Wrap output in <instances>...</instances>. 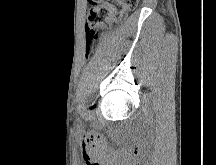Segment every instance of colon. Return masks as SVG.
<instances>
[{
    "instance_id": "colon-1",
    "label": "colon",
    "mask_w": 216,
    "mask_h": 165,
    "mask_svg": "<svg viewBox=\"0 0 216 165\" xmlns=\"http://www.w3.org/2000/svg\"><path fill=\"white\" fill-rule=\"evenodd\" d=\"M92 6L86 25V53L97 41L101 31L122 21L138 0H88Z\"/></svg>"
}]
</instances>
